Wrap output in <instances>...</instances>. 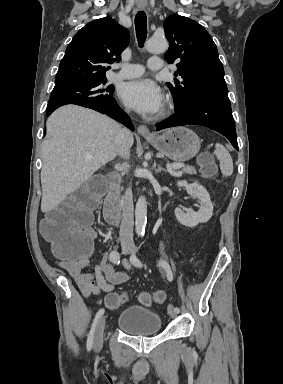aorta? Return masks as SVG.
Wrapping results in <instances>:
<instances>
[{
    "instance_id": "aorta-1",
    "label": "aorta",
    "mask_w": 283,
    "mask_h": 384,
    "mask_svg": "<svg viewBox=\"0 0 283 384\" xmlns=\"http://www.w3.org/2000/svg\"><path fill=\"white\" fill-rule=\"evenodd\" d=\"M168 42L165 38L152 37L146 44V49L150 53L160 54L168 49ZM147 223V203L144 196H140L135 208V229L138 235H143Z\"/></svg>"
}]
</instances>
